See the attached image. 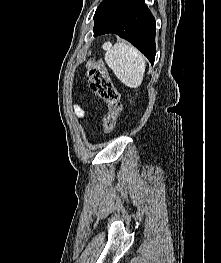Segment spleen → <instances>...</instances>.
I'll return each instance as SVG.
<instances>
[{
  "label": "spleen",
  "instance_id": "obj_1",
  "mask_svg": "<svg viewBox=\"0 0 221 263\" xmlns=\"http://www.w3.org/2000/svg\"><path fill=\"white\" fill-rule=\"evenodd\" d=\"M102 48L106 51L105 61L116 77L127 87H139L145 74V57L136 48L123 42L115 45L106 42Z\"/></svg>",
  "mask_w": 221,
  "mask_h": 263
}]
</instances>
